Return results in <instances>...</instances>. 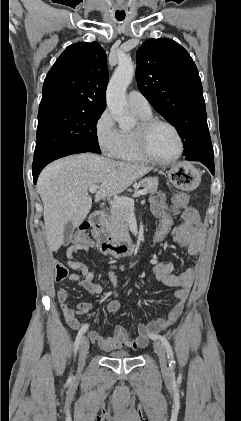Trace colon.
I'll return each instance as SVG.
<instances>
[{
    "mask_svg": "<svg viewBox=\"0 0 241 421\" xmlns=\"http://www.w3.org/2000/svg\"><path fill=\"white\" fill-rule=\"evenodd\" d=\"M189 199L190 197L187 193L176 194L173 197V205L176 207H185L188 204ZM173 223V217L170 215H166L160 219L152 237L153 245H158L167 238L172 230ZM88 230L89 224L83 222L72 235L73 246L91 245V241L87 236ZM67 276L68 269L64 265L58 264L56 269V280H64Z\"/></svg>",
    "mask_w": 241,
    "mask_h": 421,
    "instance_id": "5ec220e1",
    "label": "colon"
}]
</instances>
